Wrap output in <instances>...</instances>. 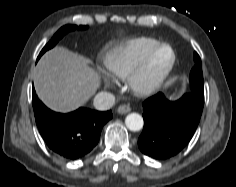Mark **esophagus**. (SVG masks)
<instances>
[{
  "instance_id": "esophagus-1",
  "label": "esophagus",
  "mask_w": 236,
  "mask_h": 187,
  "mask_svg": "<svg viewBox=\"0 0 236 187\" xmlns=\"http://www.w3.org/2000/svg\"><path fill=\"white\" fill-rule=\"evenodd\" d=\"M130 110H131V108L128 105H120L117 108V112L119 114H126V113L130 112Z\"/></svg>"
}]
</instances>
